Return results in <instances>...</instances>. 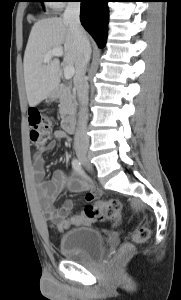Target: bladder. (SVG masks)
I'll return each mask as SVG.
<instances>
[{
	"mask_svg": "<svg viewBox=\"0 0 181 300\" xmlns=\"http://www.w3.org/2000/svg\"><path fill=\"white\" fill-rule=\"evenodd\" d=\"M61 253L68 258L91 259L100 256L104 239L93 227H78L66 230L60 237Z\"/></svg>",
	"mask_w": 181,
	"mask_h": 300,
	"instance_id": "obj_1",
	"label": "bladder"
}]
</instances>
